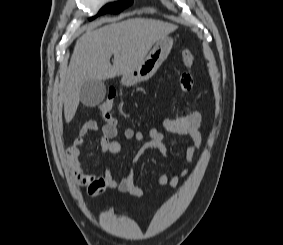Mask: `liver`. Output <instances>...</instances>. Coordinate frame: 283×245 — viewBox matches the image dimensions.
<instances>
[{
  "mask_svg": "<svg viewBox=\"0 0 283 245\" xmlns=\"http://www.w3.org/2000/svg\"><path fill=\"white\" fill-rule=\"evenodd\" d=\"M176 28L159 20L132 18L83 34L75 44L63 79L61 95L66 122L69 123L76 113L85 81H102L128 73L145 59L157 41ZM112 55L113 65L110 63Z\"/></svg>",
  "mask_w": 283,
  "mask_h": 245,
  "instance_id": "liver-1",
  "label": "liver"
}]
</instances>
